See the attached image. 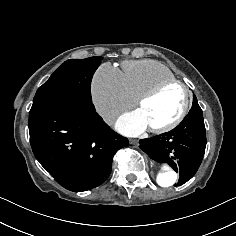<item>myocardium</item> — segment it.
I'll use <instances>...</instances> for the list:
<instances>
[{
    "mask_svg": "<svg viewBox=\"0 0 236 236\" xmlns=\"http://www.w3.org/2000/svg\"><path fill=\"white\" fill-rule=\"evenodd\" d=\"M172 85H178L184 93V104L183 108L178 115V117L173 120L171 123L161 126V127H149L150 132L154 134H166L169 133L173 130H175L177 127H179L186 119L190 107H191V92L188 86L182 82L181 80L178 79H167L163 80L156 85H154L152 88L147 90L144 94H142L138 99H137V106L141 108L144 104H146L148 101L156 97L159 93H161L164 89H166L169 86Z\"/></svg>",
    "mask_w": 236,
    "mask_h": 236,
    "instance_id": "obj_1",
    "label": "myocardium"
}]
</instances>
